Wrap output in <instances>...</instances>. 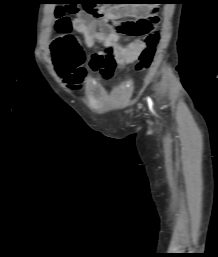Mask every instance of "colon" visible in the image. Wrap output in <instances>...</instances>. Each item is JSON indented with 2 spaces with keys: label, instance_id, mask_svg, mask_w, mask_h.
Returning <instances> with one entry per match:
<instances>
[{
  "label": "colon",
  "instance_id": "5ec220e1",
  "mask_svg": "<svg viewBox=\"0 0 218 257\" xmlns=\"http://www.w3.org/2000/svg\"><path fill=\"white\" fill-rule=\"evenodd\" d=\"M105 9V5H81V10H88L95 17H102L104 14L100 10ZM63 10L74 13L77 10V5H59L56 30L60 33V36L52 43V53L56 68L62 76H67L77 68L82 67L85 61V54L77 38L69 34L71 24L68 17L64 15ZM136 10H140L137 13L138 18L136 20L125 21L116 28L120 33L127 36L145 38L147 47L142 52L137 66L138 70H144L150 66L155 55L159 39L156 33L159 17L154 5H136Z\"/></svg>",
  "mask_w": 218,
  "mask_h": 257
}]
</instances>
